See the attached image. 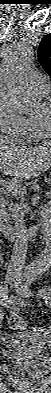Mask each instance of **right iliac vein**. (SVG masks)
Instances as JSON below:
<instances>
[{"label":"right iliac vein","mask_w":51,"mask_h":393,"mask_svg":"<svg viewBox=\"0 0 51 393\" xmlns=\"http://www.w3.org/2000/svg\"><path fill=\"white\" fill-rule=\"evenodd\" d=\"M6 280L8 282H11V283L14 282L15 281V275L13 273H8L7 276H6Z\"/></svg>","instance_id":"obj_1"}]
</instances>
